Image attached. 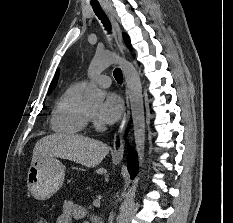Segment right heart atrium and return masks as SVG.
Masks as SVG:
<instances>
[{
    "instance_id": "d8ad5b80",
    "label": "right heart atrium",
    "mask_w": 233,
    "mask_h": 223,
    "mask_svg": "<svg viewBox=\"0 0 233 223\" xmlns=\"http://www.w3.org/2000/svg\"><path fill=\"white\" fill-rule=\"evenodd\" d=\"M91 122H92V124H93L94 127H96V128L100 127V123H99V121L97 119L93 118L91 120Z\"/></svg>"
}]
</instances>
